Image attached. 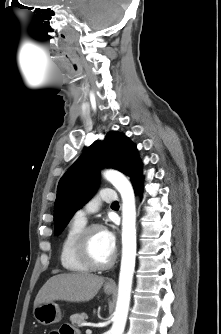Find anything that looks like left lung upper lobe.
Listing matches in <instances>:
<instances>
[{"mask_svg": "<svg viewBox=\"0 0 221 334\" xmlns=\"http://www.w3.org/2000/svg\"><path fill=\"white\" fill-rule=\"evenodd\" d=\"M110 167L132 178L141 170L136 146L124 135L109 132L96 141L72 164L57 187L54 205V233L59 235L73 214L94 194L99 169Z\"/></svg>", "mask_w": 221, "mask_h": 334, "instance_id": "5c2ea615", "label": "left lung upper lobe"}]
</instances>
